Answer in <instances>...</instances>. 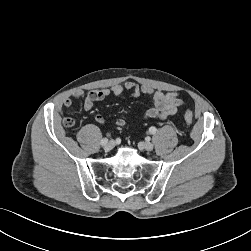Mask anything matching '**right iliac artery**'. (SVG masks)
<instances>
[{"mask_svg": "<svg viewBox=\"0 0 251 251\" xmlns=\"http://www.w3.org/2000/svg\"><path fill=\"white\" fill-rule=\"evenodd\" d=\"M108 143V139L107 138H103L102 140H101V145H106Z\"/></svg>", "mask_w": 251, "mask_h": 251, "instance_id": "obj_1", "label": "right iliac artery"}]
</instances>
